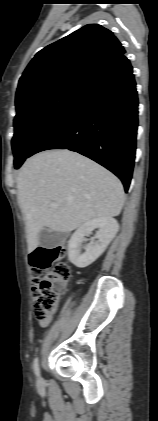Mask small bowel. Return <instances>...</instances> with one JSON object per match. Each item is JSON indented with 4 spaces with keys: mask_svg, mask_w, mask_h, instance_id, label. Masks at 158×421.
<instances>
[{
    "mask_svg": "<svg viewBox=\"0 0 158 421\" xmlns=\"http://www.w3.org/2000/svg\"><path fill=\"white\" fill-rule=\"evenodd\" d=\"M50 321H51V317L47 318L45 320H39V325L41 327H46L50 323Z\"/></svg>",
    "mask_w": 158,
    "mask_h": 421,
    "instance_id": "1",
    "label": "small bowel"
}]
</instances>
